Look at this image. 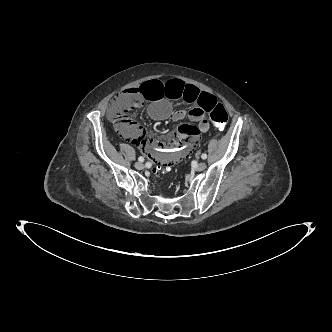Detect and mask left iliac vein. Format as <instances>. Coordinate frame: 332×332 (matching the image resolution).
<instances>
[{"label":"left iliac vein","instance_id":"left-iliac-vein-1","mask_svg":"<svg viewBox=\"0 0 332 332\" xmlns=\"http://www.w3.org/2000/svg\"><path fill=\"white\" fill-rule=\"evenodd\" d=\"M207 164L205 162H200L195 166V170L196 171H203L204 169H206Z\"/></svg>","mask_w":332,"mask_h":332}]
</instances>
